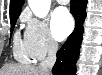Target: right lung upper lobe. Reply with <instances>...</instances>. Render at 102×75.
<instances>
[{"label":"right lung upper lobe","mask_w":102,"mask_h":75,"mask_svg":"<svg viewBox=\"0 0 102 75\" xmlns=\"http://www.w3.org/2000/svg\"><path fill=\"white\" fill-rule=\"evenodd\" d=\"M23 3L24 0H10V17L20 14Z\"/></svg>","instance_id":"cb5924a9"}]
</instances>
